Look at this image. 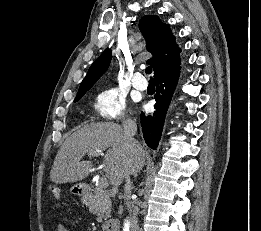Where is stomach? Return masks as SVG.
<instances>
[{"mask_svg": "<svg viewBox=\"0 0 261 231\" xmlns=\"http://www.w3.org/2000/svg\"><path fill=\"white\" fill-rule=\"evenodd\" d=\"M81 189H82V185L81 184H77V185H74L72 188H71V191L73 193H77L79 194L81 192Z\"/></svg>", "mask_w": 261, "mask_h": 231, "instance_id": "obj_1", "label": "stomach"}]
</instances>
